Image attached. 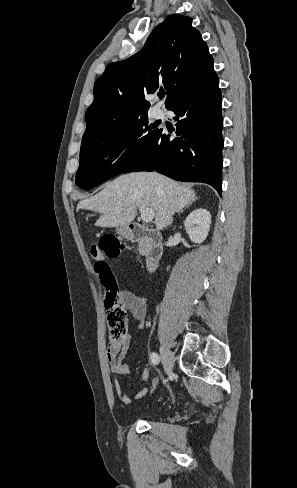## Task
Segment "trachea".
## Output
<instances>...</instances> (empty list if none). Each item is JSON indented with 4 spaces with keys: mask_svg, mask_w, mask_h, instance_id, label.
Listing matches in <instances>:
<instances>
[{
    "mask_svg": "<svg viewBox=\"0 0 297 488\" xmlns=\"http://www.w3.org/2000/svg\"><path fill=\"white\" fill-rule=\"evenodd\" d=\"M158 96H159V98H161V99H162V98L165 96V91L160 92V93L158 94Z\"/></svg>",
    "mask_w": 297,
    "mask_h": 488,
    "instance_id": "trachea-1",
    "label": "trachea"
}]
</instances>
